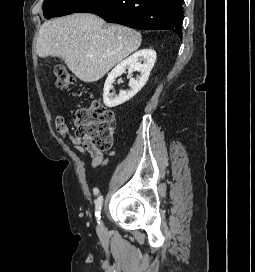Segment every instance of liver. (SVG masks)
<instances>
[{"label": "liver", "instance_id": "obj_1", "mask_svg": "<svg viewBox=\"0 0 255 272\" xmlns=\"http://www.w3.org/2000/svg\"><path fill=\"white\" fill-rule=\"evenodd\" d=\"M141 34L128 27L111 24L89 13H75L46 21L39 30L37 54L58 56L80 80L101 79L141 45Z\"/></svg>", "mask_w": 255, "mask_h": 272}]
</instances>
